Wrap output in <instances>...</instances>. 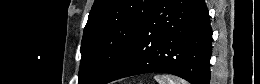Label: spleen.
<instances>
[{"mask_svg": "<svg viewBox=\"0 0 260 84\" xmlns=\"http://www.w3.org/2000/svg\"><path fill=\"white\" fill-rule=\"evenodd\" d=\"M154 78L159 84H187L185 80L174 75L157 74Z\"/></svg>", "mask_w": 260, "mask_h": 84, "instance_id": "spleen-1", "label": "spleen"}]
</instances>
